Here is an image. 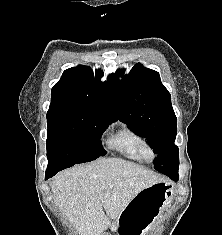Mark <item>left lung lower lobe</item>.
<instances>
[{
    "mask_svg": "<svg viewBox=\"0 0 222 235\" xmlns=\"http://www.w3.org/2000/svg\"><path fill=\"white\" fill-rule=\"evenodd\" d=\"M172 180H174V181H177L178 180V177H176V178H171Z\"/></svg>",
    "mask_w": 222,
    "mask_h": 235,
    "instance_id": "obj_1",
    "label": "left lung lower lobe"
}]
</instances>
